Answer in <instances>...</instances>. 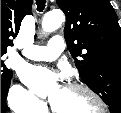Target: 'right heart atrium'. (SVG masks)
<instances>
[{
	"label": "right heart atrium",
	"mask_w": 121,
	"mask_h": 113,
	"mask_svg": "<svg viewBox=\"0 0 121 113\" xmlns=\"http://www.w3.org/2000/svg\"><path fill=\"white\" fill-rule=\"evenodd\" d=\"M9 103L13 110L23 113H36L38 110L44 108L42 102L19 84L11 87L9 91Z\"/></svg>",
	"instance_id": "right-heart-atrium-1"
}]
</instances>
